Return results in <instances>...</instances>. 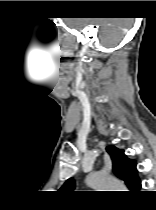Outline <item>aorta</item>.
I'll return each instance as SVG.
<instances>
[{
  "mask_svg": "<svg viewBox=\"0 0 156 210\" xmlns=\"http://www.w3.org/2000/svg\"><path fill=\"white\" fill-rule=\"evenodd\" d=\"M86 183L99 191H122L124 186L115 178L104 173H91L86 178Z\"/></svg>",
  "mask_w": 156,
  "mask_h": 210,
  "instance_id": "1",
  "label": "aorta"
}]
</instances>
